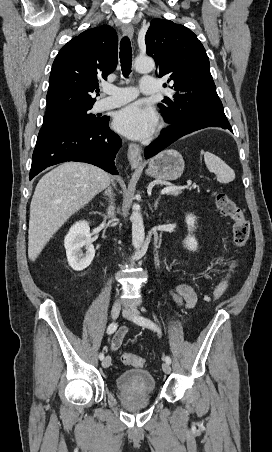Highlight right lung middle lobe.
<instances>
[{
	"label": "right lung middle lobe",
	"instance_id": "obj_1",
	"mask_svg": "<svg viewBox=\"0 0 272 452\" xmlns=\"http://www.w3.org/2000/svg\"><path fill=\"white\" fill-rule=\"evenodd\" d=\"M92 105L76 108L64 112H58L53 114H45L43 123L50 121H72L79 124H92L98 122L101 118L91 114L89 110Z\"/></svg>",
	"mask_w": 272,
	"mask_h": 452
}]
</instances>
